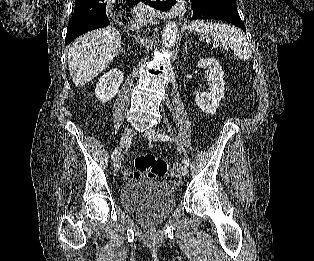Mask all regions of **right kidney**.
Returning a JSON list of instances; mask_svg holds the SVG:
<instances>
[{"label": "right kidney", "mask_w": 314, "mask_h": 261, "mask_svg": "<svg viewBox=\"0 0 314 261\" xmlns=\"http://www.w3.org/2000/svg\"><path fill=\"white\" fill-rule=\"evenodd\" d=\"M123 82V73L118 69H112L105 73L98 81L95 88V95L101 102L111 100L118 93Z\"/></svg>", "instance_id": "1"}]
</instances>
